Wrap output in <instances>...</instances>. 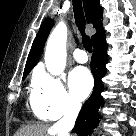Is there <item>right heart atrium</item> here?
<instances>
[{"instance_id": "d8ad5b80", "label": "right heart atrium", "mask_w": 136, "mask_h": 136, "mask_svg": "<svg viewBox=\"0 0 136 136\" xmlns=\"http://www.w3.org/2000/svg\"><path fill=\"white\" fill-rule=\"evenodd\" d=\"M30 102L34 114L42 119L56 120L79 109L63 79L44 72L34 77Z\"/></svg>"}]
</instances>
